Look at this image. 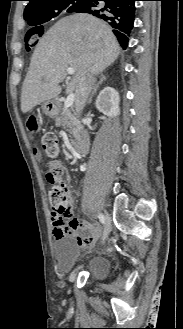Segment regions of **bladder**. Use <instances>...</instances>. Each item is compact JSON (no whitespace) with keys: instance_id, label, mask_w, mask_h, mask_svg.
Listing matches in <instances>:
<instances>
[{"instance_id":"1","label":"bladder","mask_w":183,"mask_h":329,"mask_svg":"<svg viewBox=\"0 0 183 329\" xmlns=\"http://www.w3.org/2000/svg\"><path fill=\"white\" fill-rule=\"evenodd\" d=\"M54 252L59 269L64 273L72 272L79 255V247L71 236H64L56 240ZM110 270V261L104 256L92 257L85 271L93 280L104 279Z\"/></svg>"}]
</instances>
